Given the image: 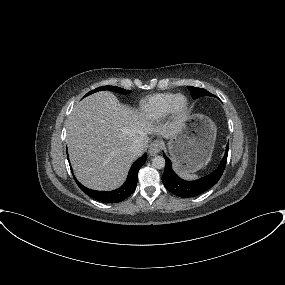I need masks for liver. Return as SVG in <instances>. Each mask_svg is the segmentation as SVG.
<instances>
[{"label": "liver", "mask_w": 285, "mask_h": 285, "mask_svg": "<svg viewBox=\"0 0 285 285\" xmlns=\"http://www.w3.org/2000/svg\"><path fill=\"white\" fill-rule=\"evenodd\" d=\"M69 157L77 179L94 190H113L123 184L135 155L130 146L137 138L148 143L157 133L173 138L180 126L154 124L144 112L119 103L108 91L92 94L74 106L66 123Z\"/></svg>", "instance_id": "1"}]
</instances>
